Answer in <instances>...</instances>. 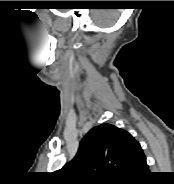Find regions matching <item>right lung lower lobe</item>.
I'll return each mask as SVG.
<instances>
[{"label":"right lung lower lobe","mask_w":174,"mask_h":184,"mask_svg":"<svg viewBox=\"0 0 174 184\" xmlns=\"http://www.w3.org/2000/svg\"><path fill=\"white\" fill-rule=\"evenodd\" d=\"M150 175L146 158L144 157L118 184H144Z\"/></svg>","instance_id":"right-lung-lower-lobe-1"}]
</instances>
